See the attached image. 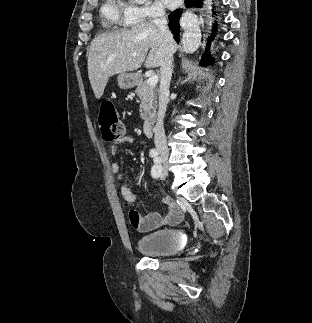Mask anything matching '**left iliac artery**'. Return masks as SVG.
Instances as JSON below:
<instances>
[{
  "mask_svg": "<svg viewBox=\"0 0 312 323\" xmlns=\"http://www.w3.org/2000/svg\"><path fill=\"white\" fill-rule=\"evenodd\" d=\"M151 172H152V176L154 178H158L159 175H160V170L155 165L152 167V171Z\"/></svg>",
  "mask_w": 312,
  "mask_h": 323,
  "instance_id": "obj_1",
  "label": "left iliac artery"
}]
</instances>
